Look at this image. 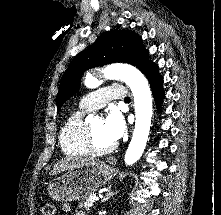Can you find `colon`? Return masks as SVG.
<instances>
[{"label": "colon", "instance_id": "5ec220e1", "mask_svg": "<svg viewBox=\"0 0 221 215\" xmlns=\"http://www.w3.org/2000/svg\"><path fill=\"white\" fill-rule=\"evenodd\" d=\"M42 215H54L55 214V208L53 205L45 203L41 207Z\"/></svg>", "mask_w": 221, "mask_h": 215}]
</instances>
